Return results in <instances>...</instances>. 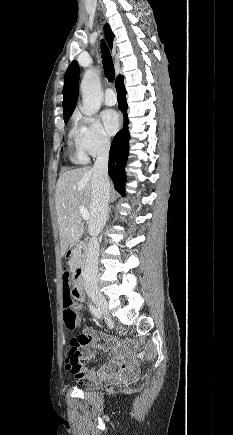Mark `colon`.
I'll use <instances>...</instances> for the list:
<instances>
[{"label": "colon", "mask_w": 233, "mask_h": 435, "mask_svg": "<svg viewBox=\"0 0 233 435\" xmlns=\"http://www.w3.org/2000/svg\"><path fill=\"white\" fill-rule=\"evenodd\" d=\"M72 277V273L68 268L63 269L62 273V281L69 282ZM63 305L65 307L63 318L65 326L68 330H74L77 321H78V313L77 308L74 305V302L69 294H64L63 296ZM120 333H125V331L120 328ZM84 340V337L81 335H74L69 338L68 341V354L66 360L71 364H79L82 362V356L78 349L80 343Z\"/></svg>", "instance_id": "obj_1"}]
</instances>
